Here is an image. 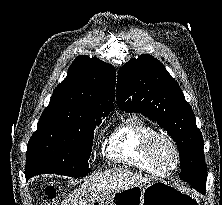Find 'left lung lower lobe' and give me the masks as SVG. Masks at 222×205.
<instances>
[{
  "mask_svg": "<svg viewBox=\"0 0 222 205\" xmlns=\"http://www.w3.org/2000/svg\"><path fill=\"white\" fill-rule=\"evenodd\" d=\"M180 159L181 168L185 172L184 174L186 175L185 180L183 181L192 184V186L199 192H205L206 186H201L200 183L196 182L193 178L188 175V173H193V171L199 168L198 161L195 158L189 157L187 155L180 156Z\"/></svg>",
  "mask_w": 222,
  "mask_h": 205,
  "instance_id": "1",
  "label": "left lung lower lobe"
}]
</instances>
